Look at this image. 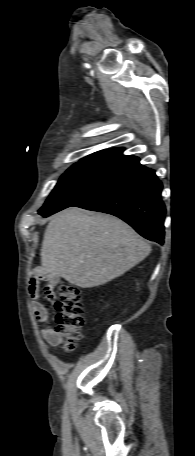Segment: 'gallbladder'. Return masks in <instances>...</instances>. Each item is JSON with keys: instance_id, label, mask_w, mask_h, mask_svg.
I'll return each mask as SVG.
<instances>
[{"instance_id": "obj_1", "label": "gallbladder", "mask_w": 195, "mask_h": 456, "mask_svg": "<svg viewBox=\"0 0 195 456\" xmlns=\"http://www.w3.org/2000/svg\"><path fill=\"white\" fill-rule=\"evenodd\" d=\"M46 279L51 286H54L55 282L53 280H56V277L50 278L47 276Z\"/></svg>"}]
</instances>
